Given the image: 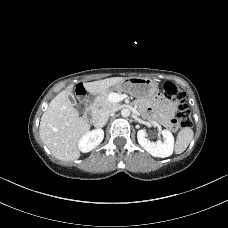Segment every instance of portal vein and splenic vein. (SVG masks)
Masks as SVG:
<instances>
[{"label": "portal vein and splenic vein", "mask_w": 228, "mask_h": 228, "mask_svg": "<svg viewBox=\"0 0 228 228\" xmlns=\"http://www.w3.org/2000/svg\"><path fill=\"white\" fill-rule=\"evenodd\" d=\"M111 98H113L115 101H121L123 98H125V95H119L117 93H113L111 95Z\"/></svg>", "instance_id": "1"}]
</instances>
